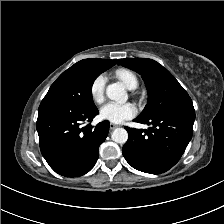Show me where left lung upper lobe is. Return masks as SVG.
<instances>
[{
  "label": "left lung upper lobe",
  "instance_id": "5c2ea615",
  "mask_svg": "<svg viewBox=\"0 0 224 224\" xmlns=\"http://www.w3.org/2000/svg\"><path fill=\"white\" fill-rule=\"evenodd\" d=\"M119 65L139 73L148 90V103L140 118H152L175 107L193 105L185 89L161 64L146 58L120 59Z\"/></svg>",
  "mask_w": 224,
  "mask_h": 224
}]
</instances>
